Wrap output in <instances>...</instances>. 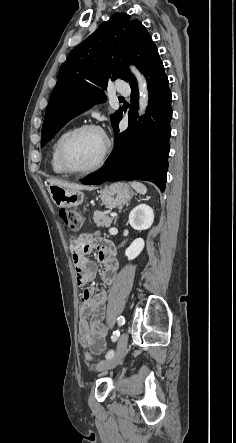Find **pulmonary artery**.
<instances>
[{"instance_id":"pulmonary-artery-1","label":"pulmonary artery","mask_w":236,"mask_h":443,"mask_svg":"<svg viewBox=\"0 0 236 443\" xmlns=\"http://www.w3.org/2000/svg\"><path fill=\"white\" fill-rule=\"evenodd\" d=\"M118 92H123V90L121 88H117Z\"/></svg>"}]
</instances>
